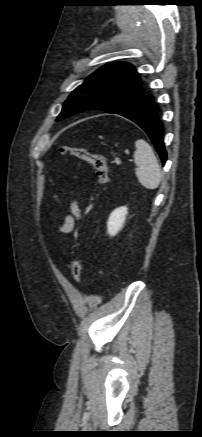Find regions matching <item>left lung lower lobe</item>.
<instances>
[{
	"instance_id": "obj_1",
	"label": "left lung lower lobe",
	"mask_w": 202,
	"mask_h": 437,
	"mask_svg": "<svg viewBox=\"0 0 202 437\" xmlns=\"http://www.w3.org/2000/svg\"><path fill=\"white\" fill-rule=\"evenodd\" d=\"M107 112L124 116L139 125L147 133L165 164L167 153L163 142V127L157 115L158 107L151 95L142 94Z\"/></svg>"
}]
</instances>
